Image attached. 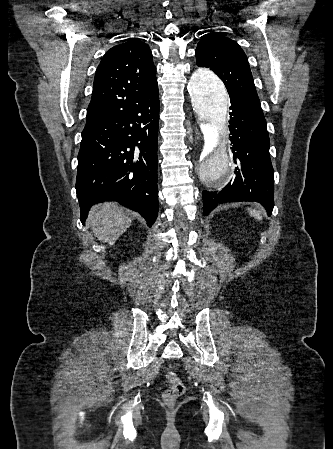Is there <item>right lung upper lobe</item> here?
<instances>
[{
  "label": "right lung upper lobe",
  "mask_w": 333,
  "mask_h": 449,
  "mask_svg": "<svg viewBox=\"0 0 333 449\" xmlns=\"http://www.w3.org/2000/svg\"><path fill=\"white\" fill-rule=\"evenodd\" d=\"M158 91L149 46L138 38L112 47L97 67L86 125L110 118Z\"/></svg>",
  "instance_id": "obj_1"
}]
</instances>
